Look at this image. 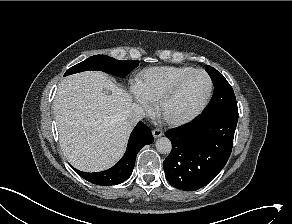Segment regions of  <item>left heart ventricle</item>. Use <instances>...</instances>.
<instances>
[{
  "label": "left heart ventricle",
  "mask_w": 292,
  "mask_h": 224,
  "mask_svg": "<svg viewBox=\"0 0 292 224\" xmlns=\"http://www.w3.org/2000/svg\"><path fill=\"white\" fill-rule=\"evenodd\" d=\"M209 82L204 74H195L181 87L177 95L166 105L164 114L168 118H181L193 112L204 100Z\"/></svg>",
  "instance_id": "b2bd125f"
}]
</instances>
